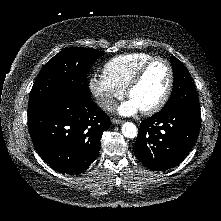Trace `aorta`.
<instances>
[{"mask_svg": "<svg viewBox=\"0 0 221 221\" xmlns=\"http://www.w3.org/2000/svg\"><path fill=\"white\" fill-rule=\"evenodd\" d=\"M122 134L127 138H135L137 136V128L131 122H125L122 127Z\"/></svg>", "mask_w": 221, "mask_h": 221, "instance_id": "1", "label": "aorta"}]
</instances>
